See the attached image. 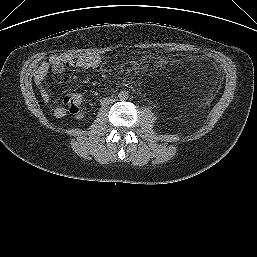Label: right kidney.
Segmentation results:
<instances>
[{"mask_svg": "<svg viewBox=\"0 0 257 257\" xmlns=\"http://www.w3.org/2000/svg\"><path fill=\"white\" fill-rule=\"evenodd\" d=\"M83 118V115H78L77 117H76V119H82Z\"/></svg>", "mask_w": 257, "mask_h": 257, "instance_id": "right-kidney-1", "label": "right kidney"}]
</instances>
